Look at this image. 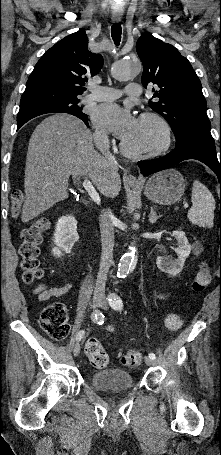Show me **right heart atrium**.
I'll list each match as a JSON object with an SVG mask.
<instances>
[{
    "label": "right heart atrium",
    "instance_id": "d8ad5b80",
    "mask_svg": "<svg viewBox=\"0 0 221 455\" xmlns=\"http://www.w3.org/2000/svg\"><path fill=\"white\" fill-rule=\"evenodd\" d=\"M94 139L96 142L97 147L100 150H105L108 148L110 140L106 132L102 130H96L94 133Z\"/></svg>",
    "mask_w": 221,
    "mask_h": 455
}]
</instances>
